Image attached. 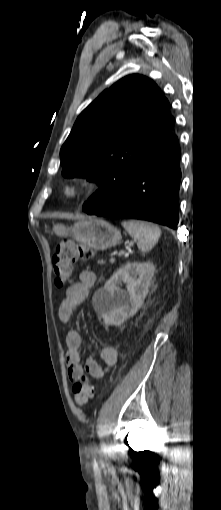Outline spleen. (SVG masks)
Returning a JSON list of instances; mask_svg holds the SVG:
<instances>
[{"instance_id":"1","label":"spleen","mask_w":221,"mask_h":510,"mask_svg":"<svg viewBox=\"0 0 221 510\" xmlns=\"http://www.w3.org/2000/svg\"><path fill=\"white\" fill-rule=\"evenodd\" d=\"M122 226L137 241V246L142 252L150 251L161 235V229L149 222L126 220L122 221Z\"/></svg>"}]
</instances>
